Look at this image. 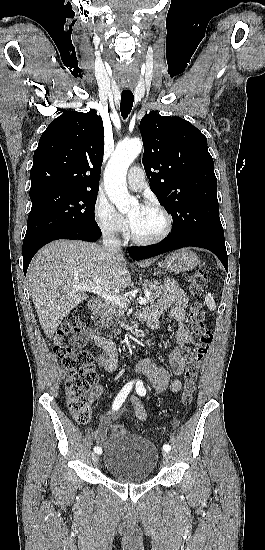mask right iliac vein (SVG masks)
<instances>
[{"instance_id": "1", "label": "right iliac vein", "mask_w": 265, "mask_h": 550, "mask_svg": "<svg viewBox=\"0 0 265 550\" xmlns=\"http://www.w3.org/2000/svg\"><path fill=\"white\" fill-rule=\"evenodd\" d=\"M98 459H99L98 454L93 453V454H92V460H93V462L96 463V462L98 461Z\"/></svg>"}]
</instances>
